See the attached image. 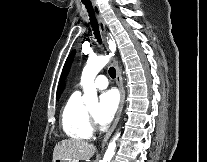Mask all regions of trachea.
Instances as JSON below:
<instances>
[{
  "label": "trachea",
  "instance_id": "trachea-1",
  "mask_svg": "<svg viewBox=\"0 0 207 162\" xmlns=\"http://www.w3.org/2000/svg\"><path fill=\"white\" fill-rule=\"evenodd\" d=\"M82 3L85 5V7H86V9L89 13L90 22H91V26H92L93 31H94L95 38L97 39L99 44H101V42H102L101 41V36H100L97 20L95 18L94 12H93L91 2H90V0H82ZM109 75H110L111 78L116 77V71L113 67L109 68Z\"/></svg>",
  "mask_w": 207,
  "mask_h": 162
}]
</instances>
